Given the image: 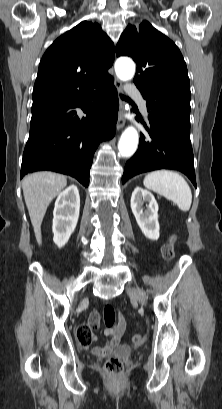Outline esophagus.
Here are the masks:
<instances>
[{"label": "esophagus", "instance_id": "1", "mask_svg": "<svg viewBox=\"0 0 222 409\" xmlns=\"http://www.w3.org/2000/svg\"><path fill=\"white\" fill-rule=\"evenodd\" d=\"M114 86L116 87L119 93H123L122 85L119 79L117 78L114 79ZM124 112H125V102L122 99H119V115H118V120H117V125H116L117 130L122 129L125 125V118L123 117Z\"/></svg>", "mask_w": 222, "mask_h": 409}]
</instances>
